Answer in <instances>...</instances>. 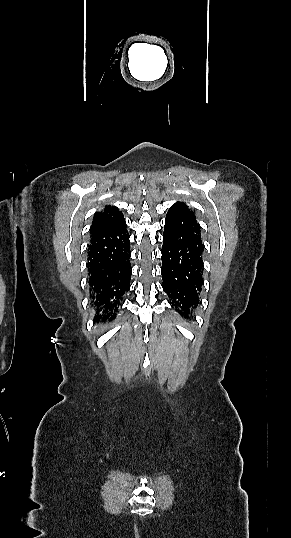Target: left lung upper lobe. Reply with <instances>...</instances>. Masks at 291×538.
Segmentation results:
<instances>
[{
    "label": "left lung upper lobe",
    "instance_id": "obj_1",
    "mask_svg": "<svg viewBox=\"0 0 291 538\" xmlns=\"http://www.w3.org/2000/svg\"><path fill=\"white\" fill-rule=\"evenodd\" d=\"M171 208H174V209L179 210L181 212L190 213V214L194 215V213L192 211H190L188 209V206L183 202H177Z\"/></svg>",
    "mask_w": 291,
    "mask_h": 538
}]
</instances>
